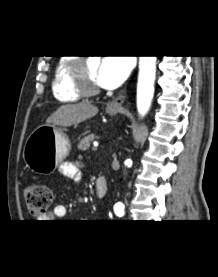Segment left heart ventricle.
Returning <instances> with one entry per match:
<instances>
[{"mask_svg": "<svg viewBox=\"0 0 218 277\" xmlns=\"http://www.w3.org/2000/svg\"><path fill=\"white\" fill-rule=\"evenodd\" d=\"M98 67H99V63L97 61H88L87 62L88 76L93 83H97L96 82V74L98 71Z\"/></svg>", "mask_w": 218, "mask_h": 277, "instance_id": "obj_1", "label": "left heart ventricle"}]
</instances>
